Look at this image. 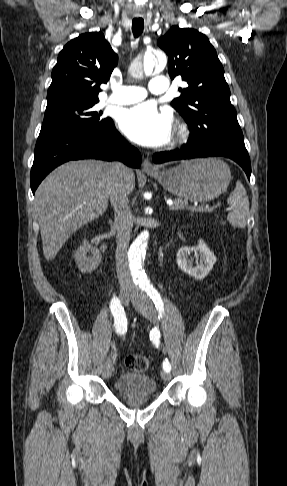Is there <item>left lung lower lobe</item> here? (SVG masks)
<instances>
[{
	"mask_svg": "<svg viewBox=\"0 0 287 486\" xmlns=\"http://www.w3.org/2000/svg\"><path fill=\"white\" fill-rule=\"evenodd\" d=\"M226 157L237 162L250 179L251 165L250 158L245 147L229 145L225 143L204 144L198 140H188L180 149L155 153L153 161L156 164L201 157Z\"/></svg>",
	"mask_w": 287,
	"mask_h": 486,
	"instance_id": "obj_1",
	"label": "left lung lower lobe"
}]
</instances>
